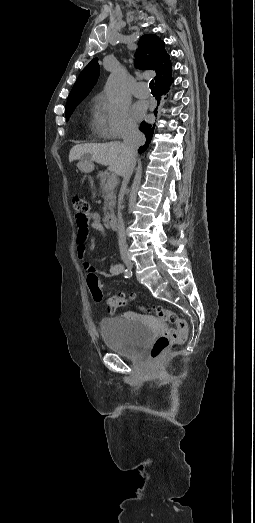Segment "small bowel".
<instances>
[{
    "label": "small bowel",
    "instance_id": "1",
    "mask_svg": "<svg viewBox=\"0 0 255 523\" xmlns=\"http://www.w3.org/2000/svg\"><path fill=\"white\" fill-rule=\"evenodd\" d=\"M87 223L84 225L78 224V232H77V247H76V255L79 260L82 261L83 267L85 271L88 274L94 273L101 275L103 277H115L120 275L124 267L122 264L118 263H112L109 270L107 272L102 270H96L94 269L91 264L86 260V253L87 250H97L101 248V245L97 244L95 241H91L89 245H87V241L89 238V231L90 229H94L103 236L106 235L105 228L101 222V217L97 212H91L87 215Z\"/></svg>",
    "mask_w": 255,
    "mask_h": 523
}]
</instances>
